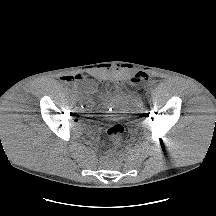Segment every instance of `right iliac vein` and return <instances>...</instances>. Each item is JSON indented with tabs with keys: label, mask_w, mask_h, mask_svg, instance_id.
I'll return each instance as SVG.
<instances>
[{
	"label": "right iliac vein",
	"mask_w": 216,
	"mask_h": 216,
	"mask_svg": "<svg viewBox=\"0 0 216 216\" xmlns=\"http://www.w3.org/2000/svg\"><path fill=\"white\" fill-rule=\"evenodd\" d=\"M75 97L76 98H79L80 97V94L76 91V93H75Z\"/></svg>",
	"instance_id": "63e3f726"
}]
</instances>
